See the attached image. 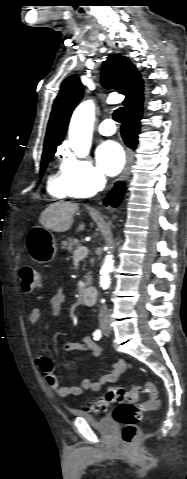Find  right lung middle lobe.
<instances>
[{
	"instance_id": "dd1d6c3e",
	"label": "right lung middle lobe",
	"mask_w": 187,
	"mask_h": 479,
	"mask_svg": "<svg viewBox=\"0 0 187 479\" xmlns=\"http://www.w3.org/2000/svg\"><path fill=\"white\" fill-rule=\"evenodd\" d=\"M55 152H56L55 149L43 152L42 161H41V173L44 172V170L47 166V163L52 159Z\"/></svg>"
}]
</instances>
